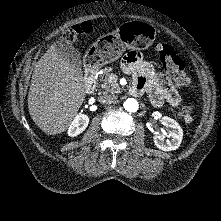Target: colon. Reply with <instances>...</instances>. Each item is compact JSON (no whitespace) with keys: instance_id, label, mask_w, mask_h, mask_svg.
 Listing matches in <instances>:
<instances>
[{"instance_id":"5ec220e1","label":"colon","mask_w":221,"mask_h":221,"mask_svg":"<svg viewBox=\"0 0 221 221\" xmlns=\"http://www.w3.org/2000/svg\"><path fill=\"white\" fill-rule=\"evenodd\" d=\"M92 27L89 22L77 24L66 30L62 34V39L67 43H73L79 35L87 34ZM159 61L168 71L170 76L178 85H187L189 83L188 76L185 71V65L177 52L168 44L161 43L157 46ZM194 112V105L188 104L179 110V116L184 121H190Z\"/></svg>"}]
</instances>
